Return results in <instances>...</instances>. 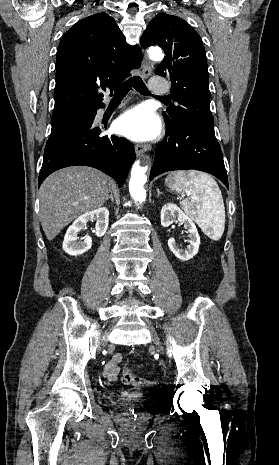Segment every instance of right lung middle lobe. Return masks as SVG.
I'll return each mask as SVG.
<instances>
[{
    "mask_svg": "<svg viewBox=\"0 0 279 465\" xmlns=\"http://www.w3.org/2000/svg\"><path fill=\"white\" fill-rule=\"evenodd\" d=\"M84 120V116L80 115L68 122L52 126L51 134L46 143L45 151L52 149L67 135L81 128Z\"/></svg>",
    "mask_w": 279,
    "mask_h": 465,
    "instance_id": "right-lung-middle-lobe-1",
    "label": "right lung middle lobe"
}]
</instances>
